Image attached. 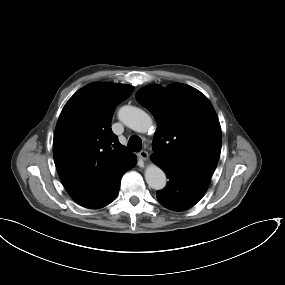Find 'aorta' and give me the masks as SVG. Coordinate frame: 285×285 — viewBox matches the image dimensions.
<instances>
[{
	"label": "aorta",
	"instance_id": "obj_1",
	"mask_svg": "<svg viewBox=\"0 0 285 285\" xmlns=\"http://www.w3.org/2000/svg\"><path fill=\"white\" fill-rule=\"evenodd\" d=\"M118 118L125 126L139 133H146L152 127L151 117L142 109L134 106L121 107ZM144 176L147 184L155 190H161L166 186V175L155 164L147 166Z\"/></svg>",
	"mask_w": 285,
	"mask_h": 285
}]
</instances>
